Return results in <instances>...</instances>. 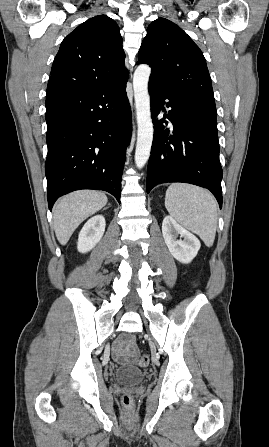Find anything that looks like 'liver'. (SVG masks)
Wrapping results in <instances>:
<instances>
[{
  "label": "liver",
  "instance_id": "6515ba94",
  "mask_svg": "<svg viewBox=\"0 0 269 447\" xmlns=\"http://www.w3.org/2000/svg\"><path fill=\"white\" fill-rule=\"evenodd\" d=\"M107 202V196L103 192H94V190H79L61 198L53 212L54 229L58 241L65 245L76 227L89 216L102 210Z\"/></svg>",
  "mask_w": 269,
  "mask_h": 447
}]
</instances>
